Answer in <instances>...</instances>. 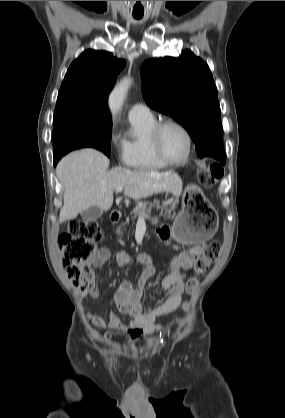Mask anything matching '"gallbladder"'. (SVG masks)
<instances>
[{"label": "gallbladder", "mask_w": 285, "mask_h": 418, "mask_svg": "<svg viewBox=\"0 0 285 418\" xmlns=\"http://www.w3.org/2000/svg\"><path fill=\"white\" fill-rule=\"evenodd\" d=\"M101 215H102V210L96 205H93L89 207L88 209L81 212V217L85 221H95L99 219Z\"/></svg>", "instance_id": "gallbladder-1"}]
</instances>
